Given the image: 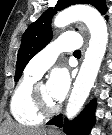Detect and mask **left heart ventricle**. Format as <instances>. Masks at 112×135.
<instances>
[{
	"label": "left heart ventricle",
	"mask_w": 112,
	"mask_h": 135,
	"mask_svg": "<svg viewBox=\"0 0 112 135\" xmlns=\"http://www.w3.org/2000/svg\"><path fill=\"white\" fill-rule=\"evenodd\" d=\"M39 94H40L43 102L45 103V105H47L49 107H53L57 104V102L51 98L49 91H48L47 84H45V83L40 84Z\"/></svg>",
	"instance_id": "b2bd125f"
}]
</instances>
